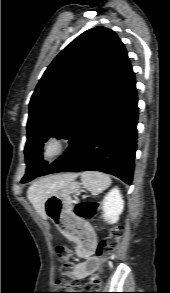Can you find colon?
Masks as SVG:
<instances>
[{"label":"colon","instance_id":"1","mask_svg":"<svg viewBox=\"0 0 170 293\" xmlns=\"http://www.w3.org/2000/svg\"><path fill=\"white\" fill-rule=\"evenodd\" d=\"M98 209V202L91 200L81 201L74 206V213L78 218H80V220L69 219L64 222H58V228L65 236L81 237L84 235L86 222L94 218ZM123 235L124 228L121 225H117L110 229L109 235L96 249V253L101 262H106L115 253ZM57 252L59 258L63 261L61 272L69 279L61 282L58 288H56V292L53 293H93V289L100 284V277L93 279L84 288H81L80 283L72 277L74 266L70 261V250L66 247H59ZM80 290L83 292H78Z\"/></svg>","mask_w":170,"mask_h":293}]
</instances>
